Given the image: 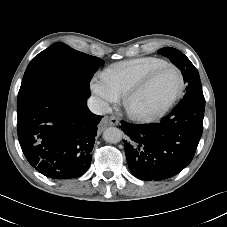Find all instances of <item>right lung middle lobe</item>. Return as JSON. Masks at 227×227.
I'll list each match as a JSON object with an SVG mask.
<instances>
[{"instance_id":"dd1d6c3e","label":"right lung middle lobe","mask_w":227,"mask_h":227,"mask_svg":"<svg viewBox=\"0 0 227 227\" xmlns=\"http://www.w3.org/2000/svg\"><path fill=\"white\" fill-rule=\"evenodd\" d=\"M103 60L55 43L29 63L18 93L17 105L45 91L57 90L90 96L89 82Z\"/></svg>"}]
</instances>
